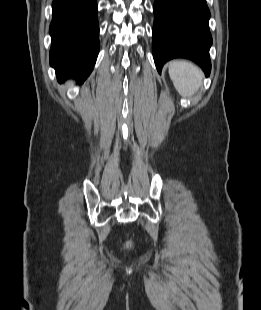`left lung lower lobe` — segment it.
<instances>
[{"instance_id": "1", "label": "left lung lower lobe", "mask_w": 261, "mask_h": 310, "mask_svg": "<svg viewBox=\"0 0 261 310\" xmlns=\"http://www.w3.org/2000/svg\"><path fill=\"white\" fill-rule=\"evenodd\" d=\"M153 57L161 73L164 63L184 57L196 62L208 76L212 37L206 0H155Z\"/></svg>"}]
</instances>
